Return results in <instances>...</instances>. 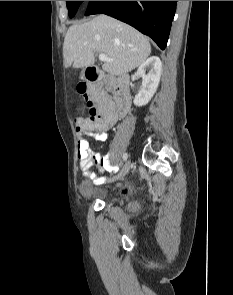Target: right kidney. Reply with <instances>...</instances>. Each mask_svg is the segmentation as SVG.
<instances>
[{"instance_id":"obj_1","label":"right kidney","mask_w":233,"mask_h":295,"mask_svg":"<svg viewBox=\"0 0 233 295\" xmlns=\"http://www.w3.org/2000/svg\"><path fill=\"white\" fill-rule=\"evenodd\" d=\"M149 69V73L145 74ZM162 63L157 56L145 60L138 68L137 74L142 78V88L135 96L133 103L136 106L146 105L155 94L160 82Z\"/></svg>"}]
</instances>
